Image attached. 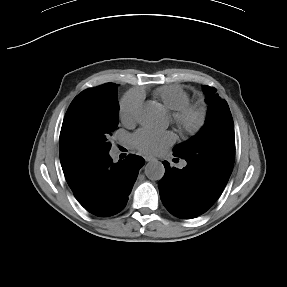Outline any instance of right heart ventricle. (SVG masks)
<instances>
[{
	"instance_id": "obj_1",
	"label": "right heart ventricle",
	"mask_w": 287,
	"mask_h": 287,
	"mask_svg": "<svg viewBox=\"0 0 287 287\" xmlns=\"http://www.w3.org/2000/svg\"><path fill=\"white\" fill-rule=\"evenodd\" d=\"M155 95L161 107L167 113L177 111L190 101L189 94L179 85L160 87Z\"/></svg>"
}]
</instances>
